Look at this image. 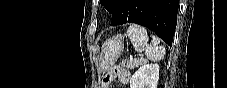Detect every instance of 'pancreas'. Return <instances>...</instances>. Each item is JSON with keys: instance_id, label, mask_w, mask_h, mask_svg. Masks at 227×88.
Returning <instances> with one entry per match:
<instances>
[{"instance_id": "obj_1", "label": "pancreas", "mask_w": 227, "mask_h": 88, "mask_svg": "<svg viewBox=\"0 0 227 88\" xmlns=\"http://www.w3.org/2000/svg\"><path fill=\"white\" fill-rule=\"evenodd\" d=\"M145 63L144 59H129L122 61V65L125 66L127 69H135L138 68L140 65Z\"/></svg>"}]
</instances>
